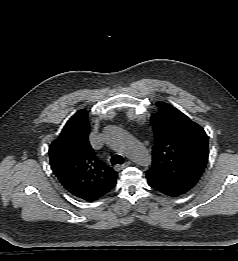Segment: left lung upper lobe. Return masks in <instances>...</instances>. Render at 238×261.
Returning a JSON list of instances; mask_svg holds the SVG:
<instances>
[{"instance_id": "1", "label": "left lung upper lobe", "mask_w": 238, "mask_h": 261, "mask_svg": "<svg viewBox=\"0 0 238 261\" xmlns=\"http://www.w3.org/2000/svg\"><path fill=\"white\" fill-rule=\"evenodd\" d=\"M151 117L156 144L148 180L176 195L189 191L199 180L208 161V139L204 129L178 109L157 102Z\"/></svg>"}]
</instances>
